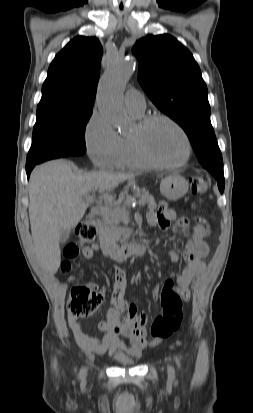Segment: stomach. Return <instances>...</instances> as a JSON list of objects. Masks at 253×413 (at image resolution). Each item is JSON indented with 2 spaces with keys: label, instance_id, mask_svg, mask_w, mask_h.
Wrapping results in <instances>:
<instances>
[{
  "label": "stomach",
  "instance_id": "obj_1",
  "mask_svg": "<svg viewBox=\"0 0 253 413\" xmlns=\"http://www.w3.org/2000/svg\"><path fill=\"white\" fill-rule=\"evenodd\" d=\"M189 188V184L185 178L179 174H171L161 180L160 192L168 200H178L183 197Z\"/></svg>",
  "mask_w": 253,
  "mask_h": 413
}]
</instances>
